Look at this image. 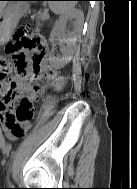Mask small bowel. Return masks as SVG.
<instances>
[{"instance_id": "obj_1", "label": "small bowel", "mask_w": 137, "mask_h": 189, "mask_svg": "<svg viewBox=\"0 0 137 189\" xmlns=\"http://www.w3.org/2000/svg\"><path fill=\"white\" fill-rule=\"evenodd\" d=\"M47 66L49 65L42 63L41 70H44ZM52 71V75L48 78L41 74L36 83L25 80L23 74L18 72L5 86L4 93L0 95V123L10 140L22 137L31 127V121L34 118V115H28L21 119L17 118L16 109L19 103L27 99L35 106V103L47 88L59 89L63 85V77L54 68H52ZM16 103L18 105L15 108Z\"/></svg>"}]
</instances>
